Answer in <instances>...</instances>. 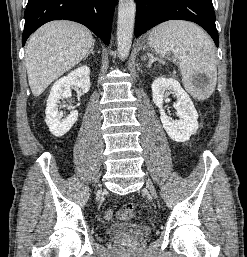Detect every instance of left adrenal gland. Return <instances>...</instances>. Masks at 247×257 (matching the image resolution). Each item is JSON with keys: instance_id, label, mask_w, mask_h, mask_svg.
I'll list each match as a JSON object with an SVG mask.
<instances>
[{"instance_id": "1", "label": "left adrenal gland", "mask_w": 247, "mask_h": 257, "mask_svg": "<svg viewBox=\"0 0 247 257\" xmlns=\"http://www.w3.org/2000/svg\"><path fill=\"white\" fill-rule=\"evenodd\" d=\"M148 57H149L148 68H150L152 63L155 61H159L160 63L164 64V61L162 59L154 57L152 53L148 54Z\"/></svg>"}]
</instances>
